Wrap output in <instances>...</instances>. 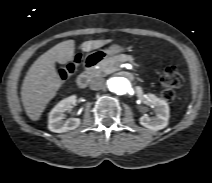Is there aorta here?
Returning a JSON list of instances; mask_svg holds the SVG:
<instances>
[{
  "mask_svg": "<svg viewBox=\"0 0 212 183\" xmlns=\"http://www.w3.org/2000/svg\"><path fill=\"white\" fill-rule=\"evenodd\" d=\"M107 86L117 95H125L131 91V82L126 77H112L107 80Z\"/></svg>",
  "mask_w": 212,
  "mask_h": 183,
  "instance_id": "762f6f07",
  "label": "aorta"
}]
</instances>
